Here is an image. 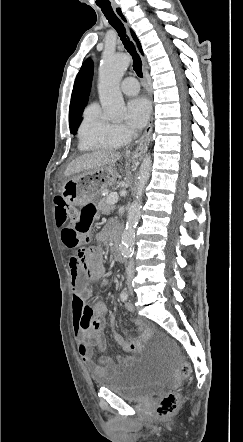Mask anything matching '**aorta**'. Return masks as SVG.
Returning <instances> with one entry per match:
<instances>
[{
    "label": "aorta",
    "mask_w": 243,
    "mask_h": 442,
    "mask_svg": "<svg viewBox=\"0 0 243 442\" xmlns=\"http://www.w3.org/2000/svg\"><path fill=\"white\" fill-rule=\"evenodd\" d=\"M129 66L125 54L106 55L99 68V94L106 115L109 118H121L125 113V103L119 89V82ZM151 157L146 155L141 163L135 199L128 208L127 222L121 236L120 252L124 257H131L134 249L135 228L141 215V199L150 177Z\"/></svg>",
    "instance_id": "aorta-1"
}]
</instances>
